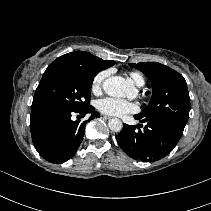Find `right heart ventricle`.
<instances>
[{
	"label": "right heart ventricle",
	"mask_w": 211,
	"mask_h": 211,
	"mask_svg": "<svg viewBox=\"0 0 211 211\" xmlns=\"http://www.w3.org/2000/svg\"><path fill=\"white\" fill-rule=\"evenodd\" d=\"M129 76L137 86L144 85L145 79H144L143 75L140 74L139 72H130Z\"/></svg>",
	"instance_id": "obj_1"
}]
</instances>
